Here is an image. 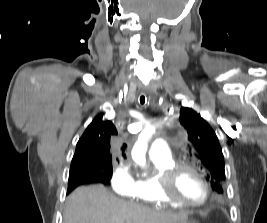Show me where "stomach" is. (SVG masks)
<instances>
[{
  "instance_id": "0dacf381",
  "label": "stomach",
  "mask_w": 267,
  "mask_h": 223,
  "mask_svg": "<svg viewBox=\"0 0 267 223\" xmlns=\"http://www.w3.org/2000/svg\"><path fill=\"white\" fill-rule=\"evenodd\" d=\"M177 223H190L188 220L184 221V222H177Z\"/></svg>"
}]
</instances>
